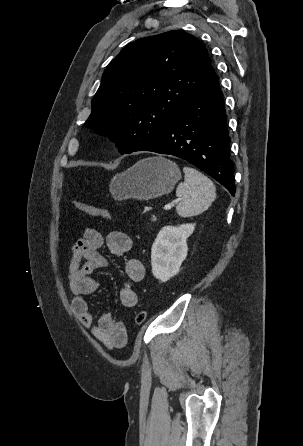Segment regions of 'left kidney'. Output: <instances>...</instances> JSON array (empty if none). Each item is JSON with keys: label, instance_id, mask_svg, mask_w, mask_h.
Wrapping results in <instances>:
<instances>
[{"label": "left kidney", "instance_id": "5707ae66", "mask_svg": "<svg viewBox=\"0 0 303 446\" xmlns=\"http://www.w3.org/2000/svg\"><path fill=\"white\" fill-rule=\"evenodd\" d=\"M195 224L165 226L158 233L151 249V265L154 277L162 282L178 274L186 259L187 238L193 233Z\"/></svg>", "mask_w": 303, "mask_h": 446}]
</instances>
